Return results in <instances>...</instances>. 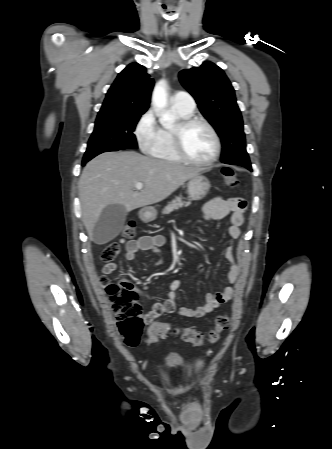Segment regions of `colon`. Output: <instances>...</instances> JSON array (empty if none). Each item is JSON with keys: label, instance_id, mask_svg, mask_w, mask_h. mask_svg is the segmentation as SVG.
I'll list each match as a JSON object with an SVG mask.
<instances>
[{"label": "colon", "instance_id": "1", "mask_svg": "<svg viewBox=\"0 0 332 449\" xmlns=\"http://www.w3.org/2000/svg\"><path fill=\"white\" fill-rule=\"evenodd\" d=\"M222 177L229 187L238 185L235 170L226 166L222 169ZM134 222H127L123 228V236L132 238L135 235ZM122 240L109 243L101 252L100 260L105 263L113 261L119 254ZM106 293L112 302V309L116 315L118 328L124 341L129 346H137L142 341L144 319L142 308L138 302L137 293L127 281H119L106 284ZM230 319L221 315L216 319L215 327L208 333L207 340L211 343L217 342L221 334L228 330ZM168 335H179L184 341L200 346L204 343V335L195 328H174L166 322H154L147 331L145 341L153 343L159 338Z\"/></svg>", "mask_w": 332, "mask_h": 449}]
</instances>
